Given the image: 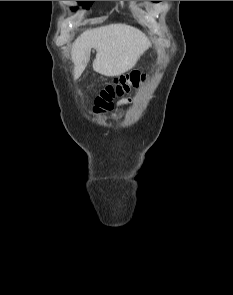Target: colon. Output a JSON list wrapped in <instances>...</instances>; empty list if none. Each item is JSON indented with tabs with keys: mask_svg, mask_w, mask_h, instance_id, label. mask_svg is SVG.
I'll return each mask as SVG.
<instances>
[{
	"mask_svg": "<svg viewBox=\"0 0 233 295\" xmlns=\"http://www.w3.org/2000/svg\"><path fill=\"white\" fill-rule=\"evenodd\" d=\"M145 79V75L133 71L128 74L120 75L113 82L107 85L95 99L94 112L106 114L113 108V100L128 93L131 88H136Z\"/></svg>",
	"mask_w": 233,
	"mask_h": 295,
	"instance_id": "obj_1",
	"label": "colon"
}]
</instances>
